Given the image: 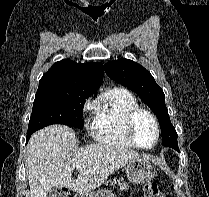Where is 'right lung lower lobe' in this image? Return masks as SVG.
Segmentation results:
<instances>
[{
  "mask_svg": "<svg viewBox=\"0 0 209 197\" xmlns=\"http://www.w3.org/2000/svg\"><path fill=\"white\" fill-rule=\"evenodd\" d=\"M32 133H27V136H26V142H28L30 136H31Z\"/></svg>",
  "mask_w": 209,
  "mask_h": 197,
  "instance_id": "obj_1",
  "label": "right lung lower lobe"
}]
</instances>
